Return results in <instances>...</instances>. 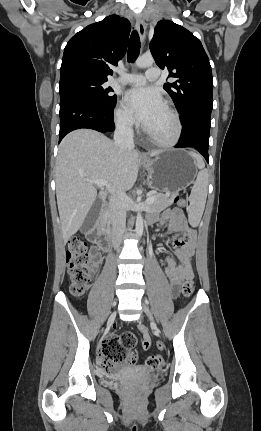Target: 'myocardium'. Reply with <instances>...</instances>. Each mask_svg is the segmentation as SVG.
Returning a JSON list of instances; mask_svg holds the SVG:
<instances>
[{
	"mask_svg": "<svg viewBox=\"0 0 261 431\" xmlns=\"http://www.w3.org/2000/svg\"><path fill=\"white\" fill-rule=\"evenodd\" d=\"M164 107L171 114L174 121L175 129H174L173 135L168 139H160L154 136L147 128H145L144 131L148 139L150 140V142L153 143L154 145L163 147V148H171L175 146L181 138L182 123H181L179 113L173 107H171L169 104H165Z\"/></svg>",
	"mask_w": 261,
	"mask_h": 431,
	"instance_id": "obj_1",
	"label": "myocardium"
}]
</instances>
